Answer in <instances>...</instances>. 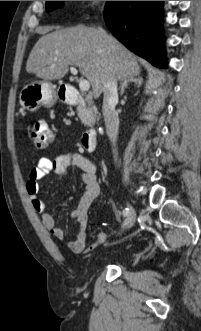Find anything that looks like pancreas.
Segmentation results:
<instances>
[{"label": "pancreas", "mask_w": 201, "mask_h": 331, "mask_svg": "<svg viewBox=\"0 0 201 331\" xmlns=\"http://www.w3.org/2000/svg\"><path fill=\"white\" fill-rule=\"evenodd\" d=\"M78 116L84 125H91L97 117V109L93 107L78 106Z\"/></svg>", "instance_id": "1"}]
</instances>
